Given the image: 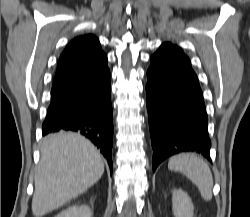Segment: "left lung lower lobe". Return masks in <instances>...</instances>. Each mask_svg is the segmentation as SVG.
Masks as SVG:
<instances>
[{"mask_svg": "<svg viewBox=\"0 0 250 217\" xmlns=\"http://www.w3.org/2000/svg\"><path fill=\"white\" fill-rule=\"evenodd\" d=\"M147 77L153 171L166 158L187 151L211 162L208 117L189 58L178 46L163 43L151 56Z\"/></svg>", "mask_w": 250, "mask_h": 217, "instance_id": "0a47b994", "label": "left lung lower lobe"}]
</instances>
